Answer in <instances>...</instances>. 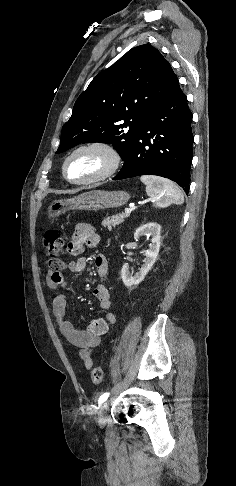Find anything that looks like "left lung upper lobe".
Here are the masks:
<instances>
[{"label": "left lung upper lobe", "mask_w": 236, "mask_h": 486, "mask_svg": "<svg viewBox=\"0 0 236 486\" xmlns=\"http://www.w3.org/2000/svg\"><path fill=\"white\" fill-rule=\"evenodd\" d=\"M178 82L149 44L132 48L100 72L75 102L58 153L87 142L112 143L124 161L155 108Z\"/></svg>", "instance_id": "5c2ea615"}]
</instances>
